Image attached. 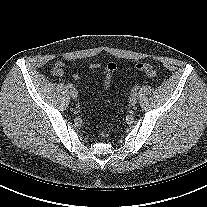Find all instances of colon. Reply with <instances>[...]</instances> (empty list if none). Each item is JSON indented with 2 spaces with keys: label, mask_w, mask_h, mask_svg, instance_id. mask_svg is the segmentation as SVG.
<instances>
[{
  "label": "colon",
  "mask_w": 207,
  "mask_h": 207,
  "mask_svg": "<svg viewBox=\"0 0 207 207\" xmlns=\"http://www.w3.org/2000/svg\"><path fill=\"white\" fill-rule=\"evenodd\" d=\"M136 69L150 78H153L157 75L155 66L149 63H138L136 64ZM87 120L91 121L92 117H88Z\"/></svg>",
  "instance_id": "obj_1"
}]
</instances>
